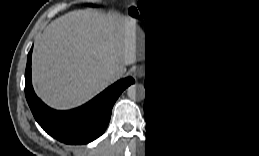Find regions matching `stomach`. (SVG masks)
Instances as JSON below:
<instances>
[{
	"instance_id": "0dacf381",
	"label": "stomach",
	"mask_w": 259,
	"mask_h": 156,
	"mask_svg": "<svg viewBox=\"0 0 259 156\" xmlns=\"http://www.w3.org/2000/svg\"><path fill=\"white\" fill-rule=\"evenodd\" d=\"M169 66L167 65L166 66V71L169 73ZM169 75V74H168ZM177 76L175 77L176 79V81L179 83L182 79H183V72L180 70V71H178V73L176 74ZM168 80H170L169 79V76H168Z\"/></svg>"
}]
</instances>
